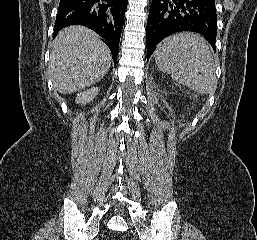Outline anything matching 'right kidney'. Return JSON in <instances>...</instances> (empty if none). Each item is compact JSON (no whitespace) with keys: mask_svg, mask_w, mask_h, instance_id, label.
<instances>
[{"mask_svg":"<svg viewBox=\"0 0 257 240\" xmlns=\"http://www.w3.org/2000/svg\"><path fill=\"white\" fill-rule=\"evenodd\" d=\"M98 92H99L98 87H93L91 89L83 91L77 95L75 102L77 104L85 105V104L89 103L90 101H92L96 97Z\"/></svg>","mask_w":257,"mask_h":240,"instance_id":"right-kidney-1","label":"right kidney"}]
</instances>
